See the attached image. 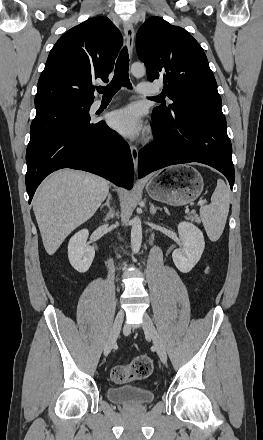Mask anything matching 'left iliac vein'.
I'll use <instances>...</instances> for the list:
<instances>
[{"label":"left iliac vein","mask_w":263,"mask_h":440,"mask_svg":"<svg viewBox=\"0 0 263 440\" xmlns=\"http://www.w3.org/2000/svg\"><path fill=\"white\" fill-rule=\"evenodd\" d=\"M142 327L144 332L152 339L159 358L163 363H166L167 362L166 348L152 320L147 314H144V322Z\"/></svg>","instance_id":"1"}]
</instances>
